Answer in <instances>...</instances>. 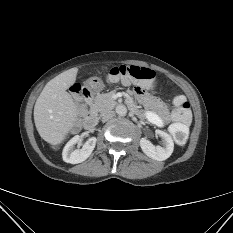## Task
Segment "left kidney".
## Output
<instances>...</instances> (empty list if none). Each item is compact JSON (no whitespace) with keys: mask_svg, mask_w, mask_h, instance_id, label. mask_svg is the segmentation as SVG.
<instances>
[{"mask_svg":"<svg viewBox=\"0 0 233 233\" xmlns=\"http://www.w3.org/2000/svg\"><path fill=\"white\" fill-rule=\"evenodd\" d=\"M155 134L162 138V146H155L145 138L140 140L142 151L150 158L163 161L171 156L174 150V143L169 134L162 130H156Z\"/></svg>","mask_w":233,"mask_h":233,"instance_id":"obj_1","label":"left kidney"}]
</instances>
